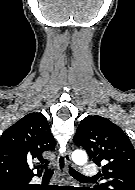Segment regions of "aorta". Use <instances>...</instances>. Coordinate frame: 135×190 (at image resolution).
Masks as SVG:
<instances>
[{
	"instance_id": "obj_1",
	"label": "aorta",
	"mask_w": 135,
	"mask_h": 190,
	"mask_svg": "<svg viewBox=\"0 0 135 190\" xmlns=\"http://www.w3.org/2000/svg\"><path fill=\"white\" fill-rule=\"evenodd\" d=\"M72 159L76 164L82 165L87 162V154L84 151L76 150L72 154Z\"/></svg>"
}]
</instances>
